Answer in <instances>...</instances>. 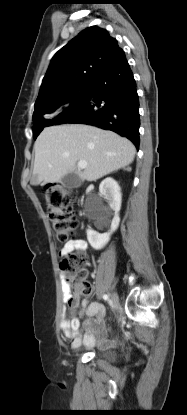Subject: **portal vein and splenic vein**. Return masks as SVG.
Instances as JSON below:
<instances>
[{
  "label": "portal vein and splenic vein",
  "mask_w": 187,
  "mask_h": 415,
  "mask_svg": "<svg viewBox=\"0 0 187 415\" xmlns=\"http://www.w3.org/2000/svg\"><path fill=\"white\" fill-rule=\"evenodd\" d=\"M86 166H87V162L86 161L81 160V161L78 162V167L79 168L84 169V168H86Z\"/></svg>",
  "instance_id": "1"
}]
</instances>
